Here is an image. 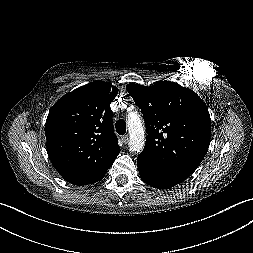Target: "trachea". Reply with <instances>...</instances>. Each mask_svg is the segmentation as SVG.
Segmentation results:
<instances>
[{
    "instance_id": "1",
    "label": "trachea",
    "mask_w": 253,
    "mask_h": 253,
    "mask_svg": "<svg viewBox=\"0 0 253 253\" xmlns=\"http://www.w3.org/2000/svg\"><path fill=\"white\" fill-rule=\"evenodd\" d=\"M116 131L119 135L126 133V123L123 119H119L115 124Z\"/></svg>"
}]
</instances>
